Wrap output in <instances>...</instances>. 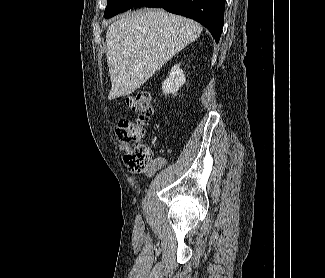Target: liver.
Instances as JSON below:
<instances>
[{
  "label": "liver",
  "mask_w": 325,
  "mask_h": 278,
  "mask_svg": "<svg viewBox=\"0 0 325 278\" xmlns=\"http://www.w3.org/2000/svg\"><path fill=\"white\" fill-rule=\"evenodd\" d=\"M199 23L162 9L127 13L106 32L111 90L108 99L139 89L202 32Z\"/></svg>",
  "instance_id": "obj_1"
}]
</instances>
